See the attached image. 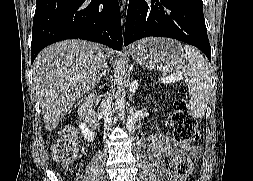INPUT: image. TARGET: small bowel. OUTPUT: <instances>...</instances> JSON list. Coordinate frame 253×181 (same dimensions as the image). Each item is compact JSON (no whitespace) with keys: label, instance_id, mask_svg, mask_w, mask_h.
Wrapping results in <instances>:
<instances>
[{"label":"small bowel","instance_id":"obj_1","mask_svg":"<svg viewBox=\"0 0 253 181\" xmlns=\"http://www.w3.org/2000/svg\"><path fill=\"white\" fill-rule=\"evenodd\" d=\"M148 154L157 175L161 180L167 179L176 168L179 160L188 156L192 159L200 157V149L196 146L180 144L165 135H155L148 146Z\"/></svg>","mask_w":253,"mask_h":181}]
</instances>
